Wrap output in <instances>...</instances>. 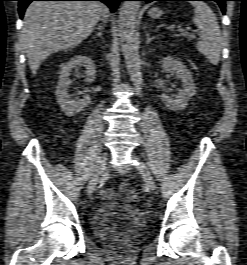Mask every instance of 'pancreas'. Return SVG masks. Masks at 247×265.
Wrapping results in <instances>:
<instances>
[{
    "instance_id": "obj_1",
    "label": "pancreas",
    "mask_w": 247,
    "mask_h": 265,
    "mask_svg": "<svg viewBox=\"0 0 247 265\" xmlns=\"http://www.w3.org/2000/svg\"><path fill=\"white\" fill-rule=\"evenodd\" d=\"M182 36H187L186 34H183ZM193 38V36L191 35V36H189V39H192Z\"/></svg>"
}]
</instances>
